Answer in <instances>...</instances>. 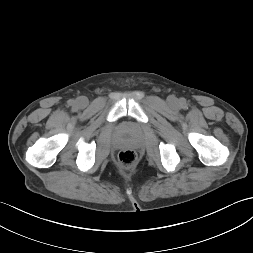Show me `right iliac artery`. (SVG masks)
Segmentation results:
<instances>
[{
	"label": "right iliac artery",
	"instance_id": "right-iliac-artery-1",
	"mask_svg": "<svg viewBox=\"0 0 253 253\" xmlns=\"http://www.w3.org/2000/svg\"><path fill=\"white\" fill-rule=\"evenodd\" d=\"M69 104H70V105H73V104H74V101H73V100H70V101H69Z\"/></svg>",
	"mask_w": 253,
	"mask_h": 253
}]
</instances>
